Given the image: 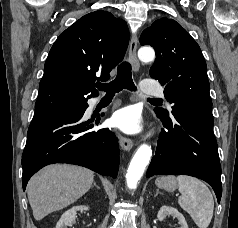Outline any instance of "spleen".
<instances>
[{"instance_id":"1","label":"spleen","mask_w":238,"mask_h":228,"mask_svg":"<svg viewBox=\"0 0 238 228\" xmlns=\"http://www.w3.org/2000/svg\"><path fill=\"white\" fill-rule=\"evenodd\" d=\"M180 207L186 211L199 228H207L214 210V199L209 188L199 179L188 175L177 177Z\"/></svg>"}]
</instances>
